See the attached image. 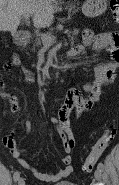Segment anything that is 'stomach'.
I'll return each instance as SVG.
<instances>
[{"mask_svg": "<svg viewBox=\"0 0 119 185\" xmlns=\"http://www.w3.org/2000/svg\"><path fill=\"white\" fill-rule=\"evenodd\" d=\"M107 9L106 0H86L82 6V12L87 17H96Z\"/></svg>", "mask_w": 119, "mask_h": 185, "instance_id": "0dacf381", "label": "stomach"}]
</instances>
